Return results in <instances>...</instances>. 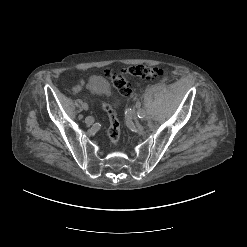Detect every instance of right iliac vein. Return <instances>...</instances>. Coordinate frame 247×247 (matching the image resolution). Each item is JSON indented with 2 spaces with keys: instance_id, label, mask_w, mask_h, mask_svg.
I'll return each instance as SVG.
<instances>
[{
  "instance_id": "right-iliac-vein-1",
  "label": "right iliac vein",
  "mask_w": 247,
  "mask_h": 247,
  "mask_svg": "<svg viewBox=\"0 0 247 247\" xmlns=\"http://www.w3.org/2000/svg\"><path fill=\"white\" fill-rule=\"evenodd\" d=\"M86 110H87V109H86ZM93 122H94L93 117H91V116L86 117L85 123H86L87 125H91V124H93Z\"/></svg>"
}]
</instances>
